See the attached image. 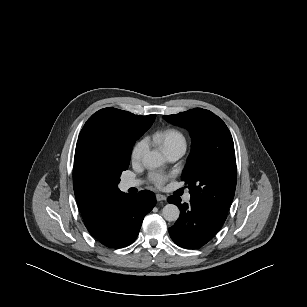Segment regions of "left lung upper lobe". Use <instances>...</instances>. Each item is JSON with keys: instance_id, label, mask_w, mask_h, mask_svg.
<instances>
[{"instance_id": "1", "label": "left lung upper lobe", "mask_w": 307, "mask_h": 307, "mask_svg": "<svg viewBox=\"0 0 307 307\" xmlns=\"http://www.w3.org/2000/svg\"><path fill=\"white\" fill-rule=\"evenodd\" d=\"M163 118L190 132L192 150L181 179L188 184L191 200L226 220L237 176L234 143L229 129L218 116L202 108Z\"/></svg>"}]
</instances>
